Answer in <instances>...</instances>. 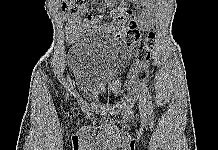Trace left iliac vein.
I'll return each instance as SVG.
<instances>
[{"label": "left iliac vein", "mask_w": 218, "mask_h": 150, "mask_svg": "<svg viewBox=\"0 0 218 150\" xmlns=\"http://www.w3.org/2000/svg\"><path fill=\"white\" fill-rule=\"evenodd\" d=\"M139 107L141 109V112L145 115L147 114V107H146V104H145V101L142 99V97L140 96L139 97Z\"/></svg>", "instance_id": "obj_1"}]
</instances>
